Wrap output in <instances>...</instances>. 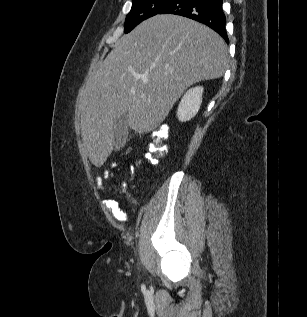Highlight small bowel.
<instances>
[{"label":"small bowel","mask_w":307,"mask_h":317,"mask_svg":"<svg viewBox=\"0 0 307 317\" xmlns=\"http://www.w3.org/2000/svg\"><path fill=\"white\" fill-rule=\"evenodd\" d=\"M118 165L113 163L111 165V169H117ZM111 178V170L107 169L103 172V174L98 175L96 178V185L99 191L104 192L106 189V184L109 182ZM124 192L126 193V188H124ZM104 206L108 210V212L113 216V218L120 223H124L127 221L128 215L121 208L120 204L115 199H105L103 201Z\"/></svg>","instance_id":"small-bowel-1"}]
</instances>
